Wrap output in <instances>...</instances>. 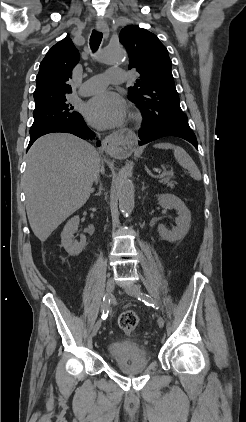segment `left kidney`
Masks as SVG:
<instances>
[{
    "label": "left kidney",
    "instance_id": "5707ae66",
    "mask_svg": "<svg viewBox=\"0 0 246 422\" xmlns=\"http://www.w3.org/2000/svg\"><path fill=\"white\" fill-rule=\"evenodd\" d=\"M158 202L168 209H175L178 213L176 218V227L168 230L164 225L158 226V233L162 239L169 242H176L183 239L190 229L191 213L184 202L173 194L157 195Z\"/></svg>",
    "mask_w": 246,
    "mask_h": 422
}]
</instances>
